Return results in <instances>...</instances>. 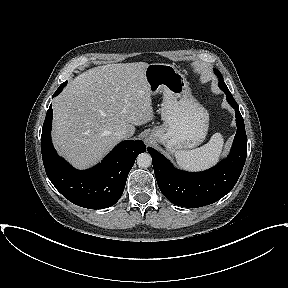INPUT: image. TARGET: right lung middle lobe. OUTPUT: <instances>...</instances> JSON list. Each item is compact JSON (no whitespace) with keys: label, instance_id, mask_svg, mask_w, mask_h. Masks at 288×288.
I'll return each instance as SVG.
<instances>
[{"label":"right lung middle lobe","instance_id":"obj_1","mask_svg":"<svg viewBox=\"0 0 288 288\" xmlns=\"http://www.w3.org/2000/svg\"><path fill=\"white\" fill-rule=\"evenodd\" d=\"M67 84V81L66 82H64V83H62L61 85H60V87H64L65 85Z\"/></svg>","mask_w":288,"mask_h":288}]
</instances>
